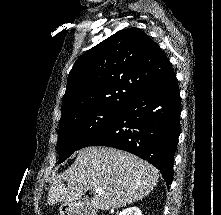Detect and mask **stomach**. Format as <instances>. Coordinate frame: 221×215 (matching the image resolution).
<instances>
[{"label": "stomach", "mask_w": 221, "mask_h": 215, "mask_svg": "<svg viewBox=\"0 0 221 215\" xmlns=\"http://www.w3.org/2000/svg\"><path fill=\"white\" fill-rule=\"evenodd\" d=\"M75 212L73 203H63L59 208L60 215H75Z\"/></svg>", "instance_id": "obj_1"}]
</instances>
